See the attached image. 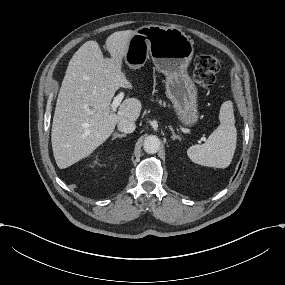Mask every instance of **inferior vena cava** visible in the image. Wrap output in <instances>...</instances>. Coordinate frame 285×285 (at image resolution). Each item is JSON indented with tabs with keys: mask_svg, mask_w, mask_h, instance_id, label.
Masks as SVG:
<instances>
[{
	"mask_svg": "<svg viewBox=\"0 0 285 285\" xmlns=\"http://www.w3.org/2000/svg\"><path fill=\"white\" fill-rule=\"evenodd\" d=\"M117 127H118V130L121 132L132 133L135 130L136 125L134 121L123 119L118 122Z\"/></svg>",
	"mask_w": 285,
	"mask_h": 285,
	"instance_id": "inferior-vena-cava-1",
	"label": "inferior vena cava"
}]
</instances>
